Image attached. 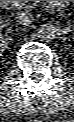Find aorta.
<instances>
[{
	"instance_id": "aorta-1",
	"label": "aorta",
	"mask_w": 74,
	"mask_h": 122,
	"mask_svg": "<svg viewBox=\"0 0 74 122\" xmlns=\"http://www.w3.org/2000/svg\"><path fill=\"white\" fill-rule=\"evenodd\" d=\"M37 35L41 41L50 42L56 37V28L49 23L42 24L38 28Z\"/></svg>"
}]
</instances>
